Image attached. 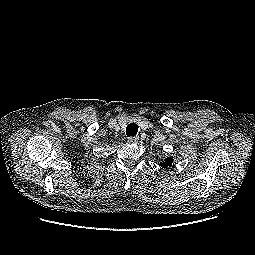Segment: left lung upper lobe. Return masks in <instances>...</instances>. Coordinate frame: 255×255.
<instances>
[{"label": "left lung upper lobe", "mask_w": 255, "mask_h": 255, "mask_svg": "<svg viewBox=\"0 0 255 255\" xmlns=\"http://www.w3.org/2000/svg\"><path fill=\"white\" fill-rule=\"evenodd\" d=\"M173 162V159L171 157L166 158V160L161 163V166L164 168H167L168 166H171Z\"/></svg>", "instance_id": "left-lung-upper-lobe-1"}]
</instances>
